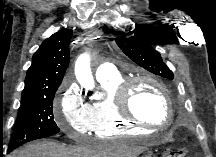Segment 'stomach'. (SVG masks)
Returning <instances> with one entry per match:
<instances>
[{
  "mask_svg": "<svg viewBox=\"0 0 216 157\" xmlns=\"http://www.w3.org/2000/svg\"><path fill=\"white\" fill-rule=\"evenodd\" d=\"M142 157H150L149 155H145V156H142Z\"/></svg>",
  "mask_w": 216,
  "mask_h": 157,
  "instance_id": "1",
  "label": "stomach"
}]
</instances>
